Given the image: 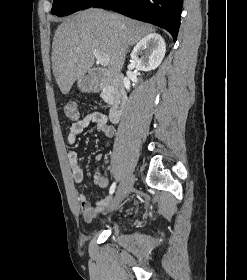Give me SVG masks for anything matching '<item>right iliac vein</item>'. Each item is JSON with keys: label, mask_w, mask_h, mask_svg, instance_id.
Segmentation results:
<instances>
[{"label": "right iliac vein", "mask_w": 247, "mask_h": 280, "mask_svg": "<svg viewBox=\"0 0 247 280\" xmlns=\"http://www.w3.org/2000/svg\"><path fill=\"white\" fill-rule=\"evenodd\" d=\"M133 186V176H128L118 186L111 209L119 205V203L127 196Z\"/></svg>", "instance_id": "63e3f726"}]
</instances>
